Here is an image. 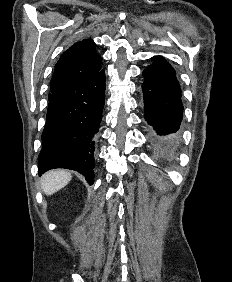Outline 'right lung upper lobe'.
Masks as SVG:
<instances>
[{
	"instance_id": "cb5924a9",
	"label": "right lung upper lobe",
	"mask_w": 232,
	"mask_h": 282,
	"mask_svg": "<svg viewBox=\"0 0 232 282\" xmlns=\"http://www.w3.org/2000/svg\"><path fill=\"white\" fill-rule=\"evenodd\" d=\"M101 60L92 40L84 39L72 45L55 65L48 99L72 84L98 73L101 70Z\"/></svg>"
}]
</instances>
